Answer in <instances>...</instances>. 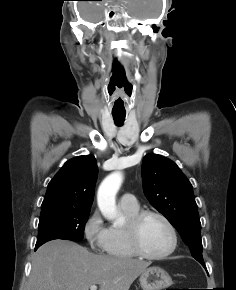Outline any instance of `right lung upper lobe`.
Instances as JSON below:
<instances>
[{
    "label": "right lung upper lobe",
    "instance_id": "right-lung-upper-lobe-1",
    "mask_svg": "<svg viewBox=\"0 0 236 290\" xmlns=\"http://www.w3.org/2000/svg\"><path fill=\"white\" fill-rule=\"evenodd\" d=\"M97 178L94 156H79L68 160L48 184L41 205L47 209L90 210Z\"/></svg>",
    "mask_w": 236,
    "mask_h": 290
}]
</instances>
